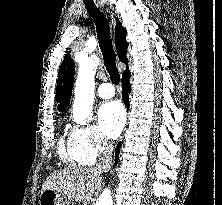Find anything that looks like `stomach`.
Returning a JSON list of instances; mask_svg holds the SVG:
<instances>
[{"label": "stomach", "instance_id": "stomach-1", "mask_svg": "<svg viewBox=\"0 0 222 205\" xmlns=\"http://www.w3.org/2000/svg\"><path fill=\"white\" fill-rule=\"evenodd\" d=\"M39 205H68V202L61 194L48 189L41 192Z\"/></svg>", "mask_w": 222, "mask_h": 205}]
</instances>
